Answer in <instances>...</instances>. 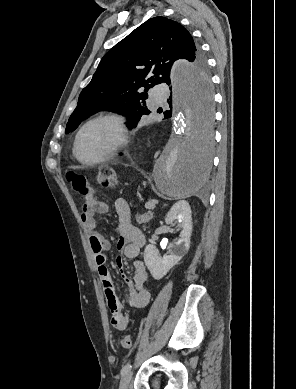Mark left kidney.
<instances>
[{"label":"left kidney","instance_id":"5707ae66","mask_svg":"<svg viewBox=\"0 0 296 389\" xmlns=\"http://www.w3.org/2000/svg\"><path fill=\"white\" fill-rule=\"evenodd\" d=\"M176 222L180 224L182 230L178 241L171 245L169 254L160 256L156 246L151 244L147 245L144 250L145 264L156 280L162 279L189 250L192 234V215L190 205L185 200L175 203L166 215L165 223L167 225H173Z\"/></svg>","mask_w":296,"mask_h":389}]
</instances>
